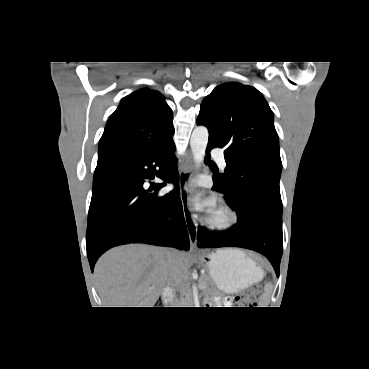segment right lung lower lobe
<instances>
[{"mask_svg":"<svg viewBox=\"0 0 369 369\" xmlns=\"http://www.w3.org/2000/svg\"><path fill=\"white\" fill-rule=\"evenodd\" d=\"M174 151L175 144L170 138L150 150L125 156L94 174L86 234L92 271L97 259L118 245L146 243L189 250ZM154 175L174 183L175 189L165 195H159L158 189L166 183L144 189L146 179H154Z\"/></svg>","mask_w":369,"mask_h":369,"instance_id":"obj_1","label":"right lung lower lobe"}]
</instances>
